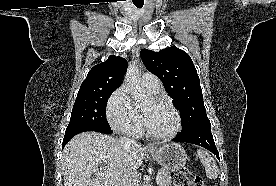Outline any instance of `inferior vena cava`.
<instances>
[{"mask_svg":"<svg viewBox=\"0 0 276 186\" xmlns=\"http://www.w3.org/2000/svg\"><path fill=\"white\" fill-rule=\"evenodd\" d=\"M119 143L125 147L136 146L137 142L134 139L125 136L120 137ZM119 186H138V175L135 171H127L121 178Z\"/></svg>","mask_w":276,"mask_h":186,"instance_id":"inferior-vena-cava-1","label":"inferior vena cava"}]
</instances>
